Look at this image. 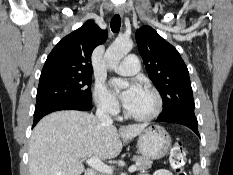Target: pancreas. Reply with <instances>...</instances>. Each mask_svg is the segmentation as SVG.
Listing matches in <instances>:
<instances>
[{
    "label": "pancreas",
    "instance_id": "obj_1",
    "mask_svg": "<svg viewBox=\"0 0 233 175\" xmlns=\"http://www.w3.org/2000/svg\"><path fill=\"white\" fill-rule=\"evenodd\" d=\"M133 160L138 165V170L144 171L151 167L152 161L148 158H145L143 156H133Z\"/></svg>",
    "mask_w": 233,
    "mask_h": 175
}]
</instances>
